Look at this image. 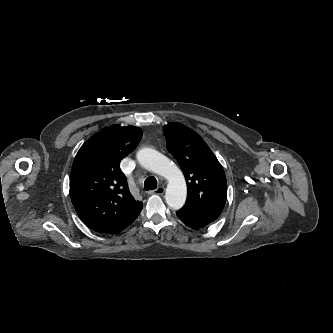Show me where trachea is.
Returning <instances> with one entry per match:
<instances>
[{
  "label": "trachea",
  "mask_w": 333,
  "mask_h": 333,
  "mask_svg": "<svg viewBox=\"0 0 333 333\" xmlns=\"http://www.w3.org/2000/svg\"><path fill=\"white\" fill-rule=\"evenodd\" d=\"M157 187V180L154 177H149L144 181V188L146 190H153Z\"/></svg>",
  "instance_id": "trachea-1"
}]
</instances>
